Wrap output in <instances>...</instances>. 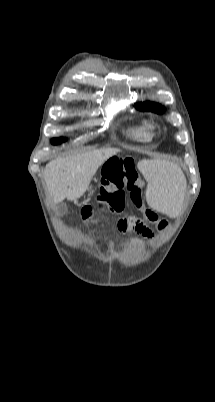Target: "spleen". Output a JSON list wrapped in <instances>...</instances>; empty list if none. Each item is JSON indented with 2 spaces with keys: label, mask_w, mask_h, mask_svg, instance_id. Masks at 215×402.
I'll return each mask as SVG.
<instances>
[{
  "label": "spleen",
  "mask_w": 215,
  "mask_h": 402,
  "mask_svg": "<svg viewBox=\"0 0 215 402\" xmlns=\"http://www.w3.org/2000/svg\"><path fill=\"white\" fill-rule=\"evenodd\" d=\"M138 168L149 183L146 187L149 209L165 212L169 216H175V210L183 213L179 202V190L184 183L181 171L158 160L141 161Z\"/></svg>",
  "instance_id": "3e777b00"
}]
</instances>
